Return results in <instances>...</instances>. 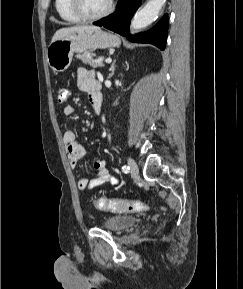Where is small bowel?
<instances>
[{
  "mask_svg": "<svg viewBox=\"0 0 243 289\" xmlns=\"http://www.w3.org/2000/svg\"><path fill=\"white\" fill-rule=\"evenodd\" d=\"M77 86L80 90L85 91L89 95V101L94 113L99 114L101 109L96 106L94 92L100 88L99 81L93 70L79 68L77 71ZM67 117L73 116L75 109L68 105L63 110ZM63 142L71 166L75 167L83 159L85 155L84 148L76 140V135L72 130H67L63 134ZM94 171L96 176L92 179H80L77 183L80 190H90L104 184L118 185L119 180L113 177L106 166L104 160H98L94 163Z\"/></svg>",
  "mask_w": 243,
  "mask_h": 289,
  "instance_id": "obj_1",
  "label": "small bowel"
}]
</instances>
